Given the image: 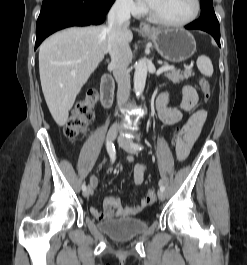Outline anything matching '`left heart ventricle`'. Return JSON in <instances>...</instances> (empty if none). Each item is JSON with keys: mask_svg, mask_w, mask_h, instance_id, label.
I'll use <instances>...</instances> for the list:
<instances>
[{"mask_svg": "<svg viewBox=\"0 0 247 265\" xmlns=\"http://www.w3.org/2000/svg\"><path fill=\"white\" fill-rule=\"evenodd\" d=\"M150 7L161 17L170 21H182L195 9L194 0H152Z\"/></svg>", "mask_w": 247, "mask_h": 265, "instance_id": "b2bd125f", "label": "left heart ventricle"}]
</instances>
